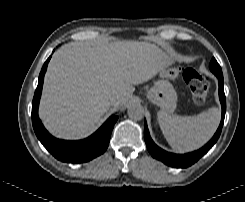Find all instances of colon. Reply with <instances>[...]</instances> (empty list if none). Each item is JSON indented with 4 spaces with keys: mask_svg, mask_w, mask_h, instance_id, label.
I'll use <instances>...</instances> for the list:
<instances>
[{
    "mask_svg": "<svg viewBox=\"0 0 245 202\" xmlns=\"http://www.w3.org/2000/svg\"><path fill=\"white\" fill-rule=\"evenodd\" d=\"M183 78L192 91L193 99L198 103L203 102L209 89L208 78L199 74L193 68L185 69L183 71Z\"/></svg>",
    "mask_w": 245,
    "mask_h": 202,
    "instance_id": "colon-1",
    "label": "colon"
}]
</instances>
